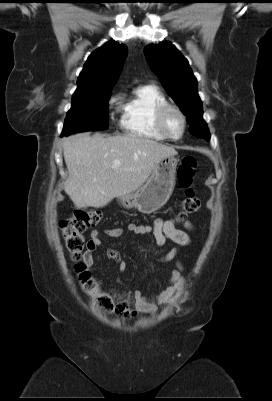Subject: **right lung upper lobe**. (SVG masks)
<instances>
[{
    "label": "right lung upper lobe",
    "instance_id": "obj_1",
    "mask_svg": "<svg viewBox=\"0 0 272 401\" xmlns=\"http://www.w3.org/2000/svg\"><path fill=\"white\" fill-rule=\"evenodd\" d=\"M127 47L114 41L105 43L90 54L81 71L73 97L112 90L121 71Z\"/></svg>",
    "mask_w": 272,
    "mask_h": 401
}]
</instances>
